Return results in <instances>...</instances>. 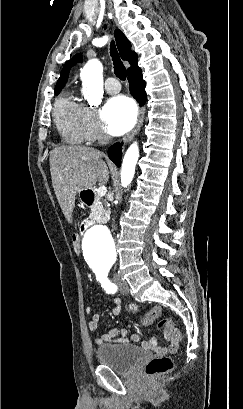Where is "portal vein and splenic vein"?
Returning <instances> with one entry per match:
<instances>
[{"instance_id":"portal-vein-and-splenic-vein-1","label":"portal vein and splenic vein","mask_w":243,"mask_h":409,"mask_svg":"<svg viewBox=\"0 0 243 409\" xmlns=\"http://www.w3.org/2000/svg\"><path fill=\"white\" fill-rule=\"evenodd\" d=\"M97 193L99 196H104L107 193V188L105 186H101L99 187V189L97 190Z\"/></svg>"}]
</instances>
